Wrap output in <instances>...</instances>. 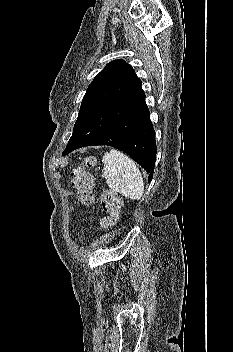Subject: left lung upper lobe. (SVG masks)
Here are the masks:
<instances>
[{"label":"left lung upper lobe","mask_w":233,"mask_h":352,"mask_svg":"<svg viewBox=\"0 0 233 352\" xmlns=\"http://www.w3.org/2000/svg\"><path fill=\"white\" fill-rule=\"evenodd\" d=\"M142 81L124 60L111 61L93 79L85 93L73 134L63 153L102 135L124 115L145 102Z\"/></svg>","instance_id":"left-lung-upper-lobe-1"}]
</instances>
